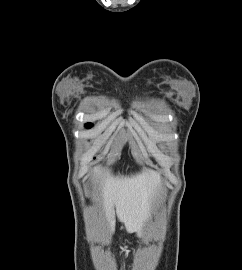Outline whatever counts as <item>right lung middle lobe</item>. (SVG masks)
<instances>
[{"label": "right lung middle lobe", "instance_id": "obj_1", "mask_svg": "<svg viewBox=\"0 0 242 270\" xmlns=\"http://www.w3.org/2000/svg\"><path fill=\"white\" fill-rule=\"evenodd\" d=\"M86 127L90 128V127H92V124L91 123H87L86 124Z\"/></svg>", "mask_w": 242, "mask_h": 270}]
</instances>
